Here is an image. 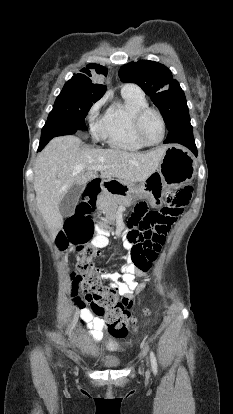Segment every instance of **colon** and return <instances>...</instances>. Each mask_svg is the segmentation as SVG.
Masks as SVG:
<instances>
[{
  "label": "colon",
  "instance_id": "obj_1",
  "mask_svg": "<svg viewBox=\"0 0 233 414\" xmlns=\"http://www.w3.org/2000/svg\"><path fill=\"white\" fill-rule=\"evenodd\" d=\"M191 193L192 188L186 186L168 197L167 206L152 211H145L139 207L129 218L128 224L131 229L125 235V243L129 246L132 262L138 268L147 271L150 269L156 252L164 241V235L174 220L173 214L189 203ZM93 237L94 224L91 213L80 205L76 213L66 219L64 230L58 235L57 244L60 249L72 244L80 251L77 270L85 275L80 288L91 291L93 295L90 299H93L95 304L104 306L102 315L109 331L114 335L124 336L128 333V328L136 323L130 313L133 303L128 297L112 293L111 286L104 284L101 272H98L99 269L94 263L100 252L92 243ZM146 314L149 312L146 311Z\"/></svg>",
  "mask_w": 233,
  "mask_h": 414
}]
</instances>
